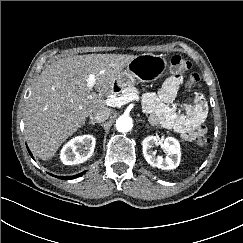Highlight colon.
<instances>
[{
  "mask_svg": "<svg viewBox=\"0 0 243 243\" xmlns=\"http://www.w3.org/2000/svg\"><path fill=\"white\" fill-rule=\"evenodd\" d=\"M169 68L173 76L180 77L191 68V63L186 58L176 55L171 58ZM186 84L189 88H198L200 86V76L195 72L190 73ZM196 142L199 146H205L209 143V139L204 134H200L197 136Z\"/></svg>",
  "mask_w": 243,
  "mask_h": 243,
  "instance_id": "obj_1",
  "label": "colon"
}]
</instances>
